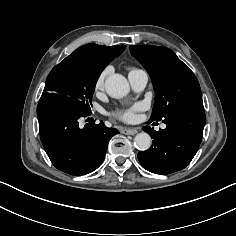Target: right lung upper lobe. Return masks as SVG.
I'll return each mask as SVG.
<instances>
[{
  "label": "right lung upper lobe",
  "instance_id": "cb5924a9",
  "mask_svg": "<svg viewBox=\"0 0 236 236\" xmlns=\"http://www.w3.org/2000/svg\"><path fill=\"white\" fill-rule=\"evenodd\" d=\"M125 48V45L102 46L86 44L76 49L69 57L92 61H106L109 63L115 57H118Z\"/></svg>",
  "mask_w": 236,
  "mask_h": 236
}]
</instances>
